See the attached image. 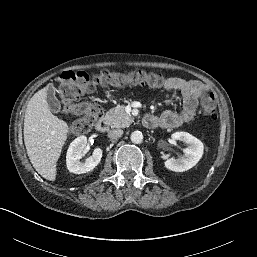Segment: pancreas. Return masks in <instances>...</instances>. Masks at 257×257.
I'll use <instances>...</instances> for the list:
<instances>
[{
    "mask_svg": "<svg viewBox=\"0 0 257 257\" xmlns=\"http://www.w3.org/2000/svg\"><path fill=\"white\" fill-rule=\"evenodd\" d=\"M105 119L111 128H125L133 122L132 116L125 112L123 105L110 109L106 113Z\"/></svg>",
    "mask_w": 257,
    "mask_h": 257,
    "instance_id": "pancreas-1",
    "label": "pancreas"
}]
</instances>
